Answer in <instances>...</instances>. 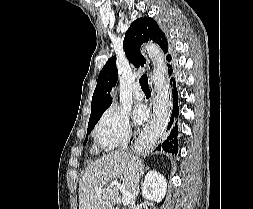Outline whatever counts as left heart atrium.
Wrapping results in <instances>:
<instances>
[{
    "label": "left heart atrium",
    "instance_id": "1",
    "mask_svg": "<svg viewBox=\"0 0 253 209\" xmlns=\"http://www.w3.org/2000/svg\"><path fill=\"white\" fill-rule=\"evenodd\" d=\"M133 118L135 123H142L146 118V109L142 106L137 107L134 111Z\"/></svg>",
    "mask_w": 253,
    "mask_h": 209
}]
</instances>
